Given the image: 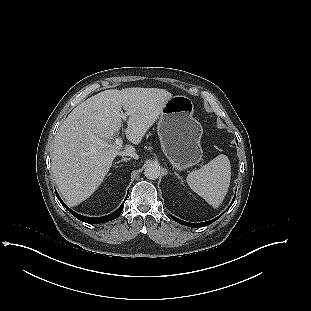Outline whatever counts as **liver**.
Instances as JSON below:
<instances>
[{
  "label": "liver",
  "instance_id": "obj_1",
  "mask_svg": "<svg viewBox=\"0 0 311 311\" xmlns=\"http://www.w3.org/2000/svg\"><path fill=\"white\" fill-rule=\"evenodd\" d=\"M173 95L165 89L125 88L102 91L75 107L60 126L52 153V172L63 198L77 205L101 185L123 149L112 144L122 126V108L129 118L126 138L139 144Z\"/></svg>",
  "mask_w": 311,
  "mask_h": 311
}]
</instances>
